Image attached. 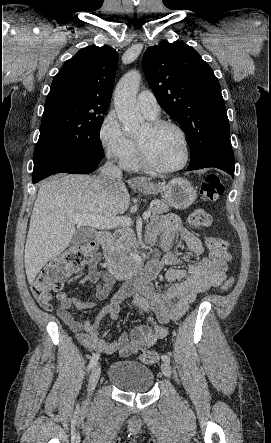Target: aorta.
Wrapping results in <instances>:
<instances>
[{
	"instance_id": "obj_1",
	"label": "aorta",
	"mask_w": 271,
	"mask_h": 443,
	"mask_svg": "<svg viewBox=\"0 0 271 443\" xmlns=\"http://www.w3.org/2000/svg\"><path fill=\"white\" fill-rule=\"evenodd\" d=\"M140 82V72L130 70L115 88L114 108L124 132H140L145 124L136 102Z\"/></svg>"
}]
</instances>
